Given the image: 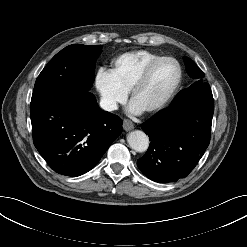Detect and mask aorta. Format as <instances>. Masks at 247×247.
<instances>
[{
  "label": "aorta",
  "mask_w": 247,
  "mask_h": 247,
  "mask_svg": "<svg viewBox=\"0 0 247 247\" xmlns=\"http://www.w3.org/2000/svg\"><path fill=\"white\" fill-rule=\"evenodd\" d=\"M127 142L133 150L137 152H144L149 147L148 136L140 130H135L127 135Z\"/></svg>",
  "instance_id": "762f6f07"
}]
</instances>
